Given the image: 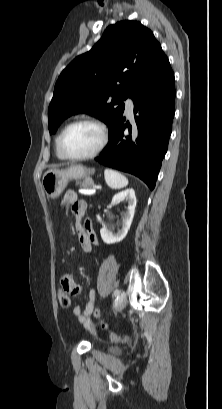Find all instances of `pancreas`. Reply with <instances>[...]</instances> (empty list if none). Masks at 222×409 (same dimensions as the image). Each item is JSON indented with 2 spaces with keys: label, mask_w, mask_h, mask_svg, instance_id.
I'll return each mask as SVG.
<instances>
[{
  "label": "pancreas",
  "mask_w": 222,
  "mask_h": 409,
  "mask_svg": "<svg viewBox=\"0 0 222 409\" xmlns=\"http://www.w3.org/2000/svg\"><path fill=\"white\" fill-rule=\"evenodd\" d=\"M93 185V181L90 178H86L83 182L80 183V186L83 188H88Z\"/></svg>",
  "instance_id": "obj_1"
}]
</instances>
